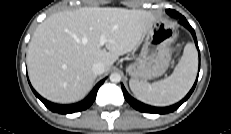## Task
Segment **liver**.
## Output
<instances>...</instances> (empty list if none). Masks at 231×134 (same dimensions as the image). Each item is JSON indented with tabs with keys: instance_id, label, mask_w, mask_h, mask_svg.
I'll return each instance as SVG.
<instances>
[{
	"instance_id": "liver-1",
	"label": "liver",
	"mask_w": 231,
	"mask_h": 134,
	"mask_svg": "<svg viewBox=\"0 0 231 134\" xmlns=\"http://www.w3.org/2000/svg\"><path fill=\"white\" fill-rule=\"evenodd\" d=\"M154 21L144 10L83 7L47 17L35 30L27 52L31 83L49 101L72 103L91 89L92 65L105 71L135 50ZM105 36V48L100 44Z\"/></svg>"
}]
</instances>
